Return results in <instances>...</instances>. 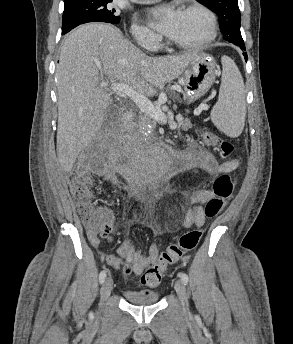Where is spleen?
Returning a JSON list of instances; mask_svg holds the SVG:
<instances>
[{"instance_id": "spleen-1", "label": "spleen", "mask_w": 293, "mask_h": 344, "mask_svg": "<svg viewBox=\"0 0 293 344\" xmlns=\"http://www.w3.org/2000/svg\"><path fill=\"white\" fill-rule=\"evenodd\" d=\"M222 79L218 101L211 111L213 124L229 137H238L245 125V87L235 62L221 58Z\"/></svg>"}]
</instances>
